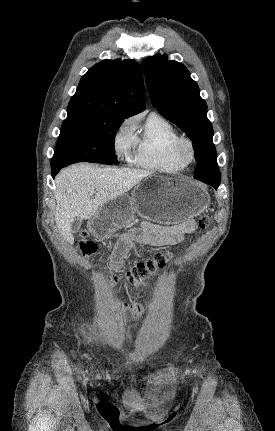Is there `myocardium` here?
<instances>
[{"mask_svg": "<svg viewBox=\"0 0 275 431\" xmlns=\"http://www.w3.org/2000/svg\"><path fill=\"white\" fill-rule=\"evenodd\" d=\"M174 155L184 166L191 164L195 160L196 155L193 140L187 136H179L174 145Z\"/></svg>", "mask_w": 275, "mask_h": 431, "instance_id": "obj_1", "label": "myocardium"}]
</instances>
